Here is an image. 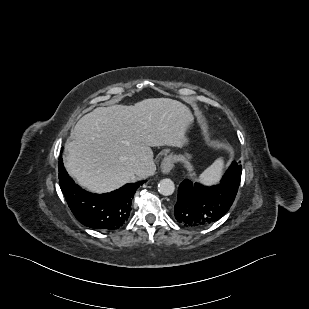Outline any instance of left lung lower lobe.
Segmentation results:
<instances>
[{"label":"left lung lower lobe","instance_id":"left-lung-lower-lobe-1","mask_svg":"<svg viewBox=\"0 0 309 309\" xmlns=\"http://www.w3.org/2000/svg\"><path fill=\"white\" fill-rule=\"evenodd\" d=\"M241 181V165L232 162L220 183L206 187L184 180L178 188V200L174 207L175 218L187 227L208 226L232 206Z\"/></svg>","mask_w":309,"mask_h":309}]
</instances>
